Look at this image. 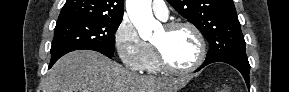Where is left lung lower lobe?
I'll list each match as a JSON object with an SVG mask.
<instances>
[{
	"mask_svg": "<svg viewBox=\"0 0 289 92\" xmlns=\"http://www.w3.org/2000/svg\"><path fill=\"white\" fill-rule=\"evenodd\" d=\"M214 62H224L235 67L242 74L247 84V87L250 89V82H249L250 65H249L247 58L234 57V56H222V57L213 58L211 60H205V62L201 65V67L197 69L196 71H199L204 66L210 63H214Z\"/></svg>",
	"mask_w": 289,
	"mask_h": 92,
	"instance_id": "1",
	"label": "left lung lower lobe"
}]
</instances>
